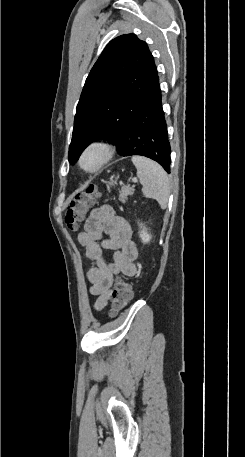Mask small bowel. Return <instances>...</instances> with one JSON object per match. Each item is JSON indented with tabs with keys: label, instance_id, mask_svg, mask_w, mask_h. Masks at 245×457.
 I'll return each instance as SVG.
<instances>
[{
	"label": "small bowel",
	"instance_id": "obj_1",
	"mask_svg": "<svg viewBox=\"0 0 245 457\" xmlns=\"http://www.w3.org/2000/svg\"><path fill=\"white\" fill-rule=\"evenodd\" d=\"M105 234L108 235L107 239H103ZM77 238L86 248L88 258L94 262L87 279L91 285L90 294L96 297L94 309L100 311L111 297L114 276H134L137 273L134 261L138 251L132 241L131 226L113 207L102 205L91 211L85 221L84 231ZM103 249L113 251V262L105 261Z\"/></svg>",
	"mask_w": 245,
	"mask_h": 457
}]
</instances>
